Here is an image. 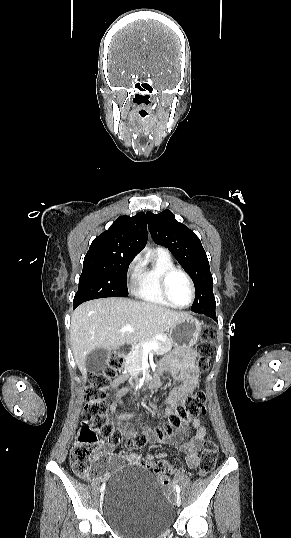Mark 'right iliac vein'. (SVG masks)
<instances>
[{
    "label": "right iliac vein",
    "mask_w": 291,
    "mask_h": 538,
    "mask_svg": "<svg viewBox=\"0 0 291 538\" xmlns=\"http://www.w3.org/2000/svg\"><path fill=\"white\" fill-rule=\"evenodd\" d=\"M103 496H104V494H101V496H100V502H102V500H103Z\"/></svg>",
    "instance_id": "right-iliac-vein-1"
}]
</instances>
